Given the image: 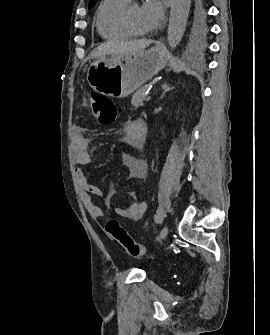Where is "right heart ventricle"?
Masks as SVG:
<instances>
[{"mask_svg": "<svg viewBox=\"0 0 270 335\" xmlns=\"http://www.w3.org/2000/svg\"><path fill=\"white\" fill-rule=\"evenodd\" d=\"M129 2L122 0H103L96 11L97 33L107 40H123L132 37L124 28L121 16ZM149 78V77H129Z\"/></svg>", "mask_w": 270, "mask_h": 335, "instance_id": "right-heart-ventricle-1", "label": "right heart ventricle"}]
</instances>
